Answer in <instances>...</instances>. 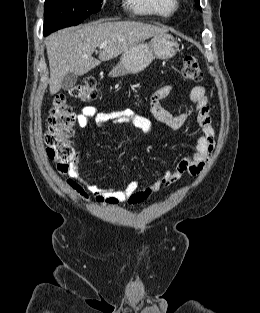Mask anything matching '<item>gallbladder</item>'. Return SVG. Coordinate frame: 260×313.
Masks as SVG:
<instances>
[{
	"label": "gallbladder",
	"mask_w": 260,
	"mask_h": 313,
	"mask_svg": "<svg viewBox=\"0 0 260 313\" xmlns=\"http://www.w3.org/2000/svg\"><path fill=\"white\" fill-rule=\"evenodd\" d=\"M77 78H78V75L73 73V72H69L67 73L64 78H63V81H62V89L63 90H70L74 87V85L76 84L77 82Z\"/></svg>",
	"instance_id": "1"
}]
</instances>
